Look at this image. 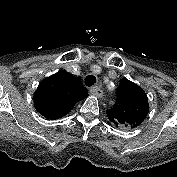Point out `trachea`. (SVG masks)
I'll list each match as a JSON object with an SVG mask.
<instances>
[{"label":"trachea","mask_w":177,"mask_h":177,"mask_svg":"<svg viewBox=\"0 0 177 177\" xmlns=\"http://www.w3.org/2000/svg\"><path fill=\"white\" fill-rule=\"evenodd\" d=\"M96 82V78L93 75H88L85 79V84L90 87Z\"/></svg>","instance_id":"1"}]
</instances>
